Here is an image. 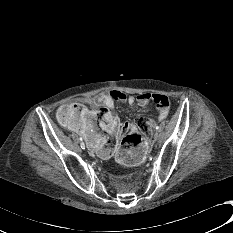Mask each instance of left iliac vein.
<instances>
[{
    "label": "left iliac vein",
    "mask_w": 233,
    "mask_h": 233,
    "mask_svg": "<svg viewBox=\"0 0 233 233\" xmlns=\"http://www.w3.org/2000/svg\"><path fill=\"white\" fill-rule=\"evenodd\" d=\"M159 138V133L156 131L153 135V140L156 141Z\"/></svg>",
    "instance_id": "left-iliac-vein-1"
}]
</instances>
